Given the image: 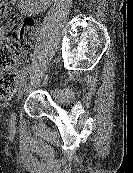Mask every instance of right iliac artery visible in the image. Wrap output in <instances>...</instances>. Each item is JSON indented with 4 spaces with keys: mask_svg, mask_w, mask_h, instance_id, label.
Masks as SVG:
<instances>
[{
    "mask_svg": "<svg viewBox=\"0 0 133 173\" xmlns=\"http://www.w3.org/2000/svg\"><path fill=\"white\" fill-rule=\"evenodd\" d=\"M28 72H29V67L27 66L23 70H21L20 78H24Z\"/></svg>",
    "mask_w": 133,
    "mask_h": 173,
    "instance_id": "82829eb1",
    "label": "right iliac artery"
}]
</instances>
